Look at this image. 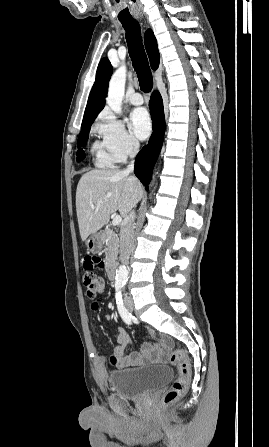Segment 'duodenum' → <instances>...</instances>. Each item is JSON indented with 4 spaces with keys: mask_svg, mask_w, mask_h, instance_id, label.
Here are the masks:
<instances>
[{
    "mask_svg": "<svg viewBox=\"0 0 269 447\" xmlns=\"http://www.w3.org/2000/svg\"><path fill=\"white\" fill-rule=\"evenodd\" d=\"M106 272L109 280H115L116 278V266L113 261L108 262L106 266Z\"/></svg>",
    "mask_w": 269,
    "mask_h": 447,
    "instance_id": "410a0bca",
    "label": "duodenum"
}]
</instances>
